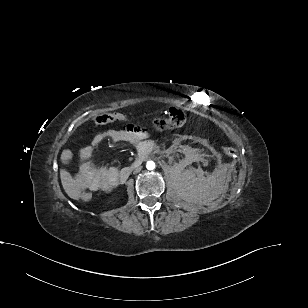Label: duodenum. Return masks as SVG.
I'll use <instances>...</instances> for the list:
<instances>
[{"instance_id":"1","label":"duodenum","mask_w":308,"mask_h":308,"mask_svg":"<svg viewBox=\"0 0 308 308\" xmlns=\"http://www.w3.org/2000/svg\"><path fill=\"white\" fill-rule=\"evenodd\" d=\"M155 150V146L152 143H143L138 147L139 155L136 160L129 166L123 168L117 177V180L120 183H124L128 177L130 176L131 172L139 168L143 161L146 159L149 153H152Z\"/></svg>"}]
</instances>
